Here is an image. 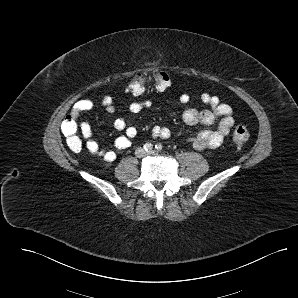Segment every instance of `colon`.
<instances>
[{"instance_id":"5ec220e1","label":"colon","mask_w":298,"mask_h":298,"mask_svg":"<svg viewBox=\"0 0 298 298\" xmlns=\"http://www.w3.org/2000/svg\"><path fill=\"white\" fill-rule=\"evenodd\" d=\"M148 76L143 72H137L127 86V91L133 96L143 95L148 86ZM154 84L156 89L164 91L171 84L170 76L166 71H157L154 75ZM61 130L66 138L68 147L79 152L83 146V138L90 135V128L84 123L78 121L77 117L69 114L62 122ZM249 131L245 125L238 124L234 127L232 133V142L236 146H242L249 139Z\"/></svg>"}]
</instances>
